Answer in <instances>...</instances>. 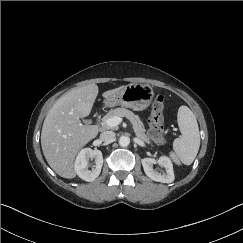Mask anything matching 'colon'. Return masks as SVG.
Returning <instances> with one entry per match:
<instances>
[{"mask_svg": "<svg viewBox=\"0 0 243 243\" xmlns=\"http://www.w3.org/2000/svg\"><path fill=\"white\" fill-rule=\"evenodd\" d=\"M163 102L164 97L160 94L156 95L153 102L152 114L149 119V135L160 144L167 143L164 136V120H163Z\"/></svg>", "mask_w": 243, "mask_h": 243, "instance_id": "obj_1", "label": "colon"}]
</instances>
